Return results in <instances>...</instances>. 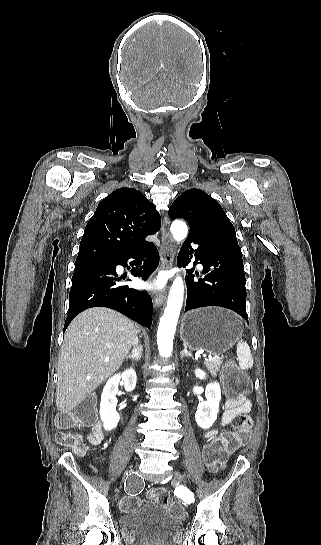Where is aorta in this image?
<instances>
[{"label":"aorta","instance_id":"1","mask_svg":"<svg viewBox=\"0 0 321 545\" xmlns=\"http://www.w3.org/2000/svg\"><path fill=\"white\" fill-rule=\"evenodd\" d=\"M170 231L177 242H182L188 233L186 223L176 220L171 224ZM184 298V282L180 276L174 280L166 308L157 331V345L162 357H170L173 349V339Z\"/></svg>","mask_w":321,"mask_h":545}]
</instances>
